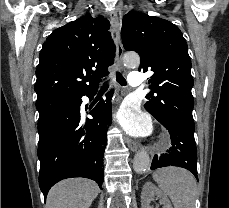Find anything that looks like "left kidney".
Masks as SVG:
<instances>
[{"instance_id": "obj_1", "label": "left kidney", "mask_w": 229, "mask_h": 208, "mask_svg": "<svg viewBox=\"0 0 229 208\" xmlns=\"http://www.w3.org/2000/svg\"><path fill=\"white\" fill-rule=\"evenodd\" d=\"M154 198H157L160 204H163V208H172L167 196H165L157 186H154L152 182H146L145 186L142 188V208H151L149 204Z\"/></svg>"}]
</instances>
